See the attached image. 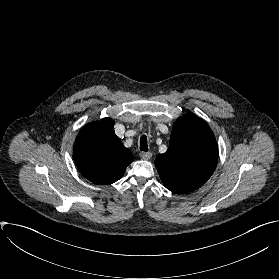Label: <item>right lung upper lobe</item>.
Here are the masks:
<instances>
[{
	"instance_id": "right-lung-upper-lobe-1",
	"label": "right lung upper lobe",
	"mask_w": 279,
	"mask_h": 279,
	"mask_svg": "<svg viewBox=\"0 0 279 279\" xmlns=\"http://www.w3.org/2000/svg\"><path fill=\"white\" fill-rule=\"evenodd\" d=\"M114 121L104 118L84 126L73 147L81 174L95 184H112L119 180L133 162V154L114 133Z\"/></svg>"
}]
</instances>
